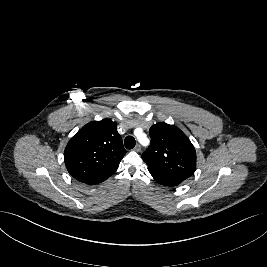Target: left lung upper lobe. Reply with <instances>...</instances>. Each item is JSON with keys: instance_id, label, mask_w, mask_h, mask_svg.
<instances>
[{"instance_id": "left-lung-upper-lobe-1", "label": "left lung upper lobe", "mask_w": 267, "mask_h": 267, "mask_svg": "<svg viewBox=\"0 0 267 267\" xmlns=\"http://www.w3.org/2000/svg\"><path fill=\"white\" fill-rule=\"evenodd\" d=\"M151 145L142 154L150 173L184 181L196 168V151L176 126L157 123L150 128Z\"/></svg>"}]
</instances>
